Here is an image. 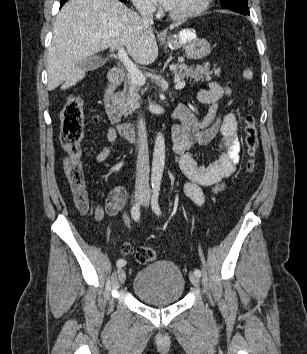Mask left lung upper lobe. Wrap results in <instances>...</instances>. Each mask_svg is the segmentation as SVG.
Wrapping results in <instances>:
<instances>
[{
    "mask_svg": "<svg viewBox=\"0 0 307 354\" xmlns=\"http://www.w3.org/2000/svg\"><path fill=\"white\" fill-rule=\"evenodd\" d=\"M221 6L241 14L250 15L247 0H220Z\"/></svg>",
    "mask_w": 307,
    "mask_h": 354,
    "instance_id": "left-lung-upper-lobe-1",
    "label": "left lung upper lobe"
}]
</instances>
